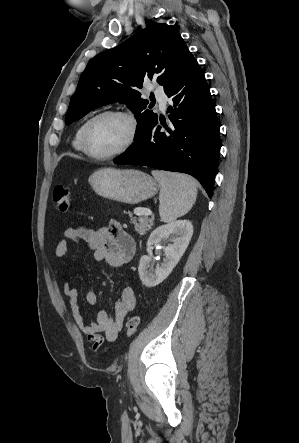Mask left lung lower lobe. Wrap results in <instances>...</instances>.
<instances>
[{
	"label": "left lung lower lobe",
	"mask_w": 299,
	"mask_h": 443,
	"mask_svg": "<svg viewBox=\"0 0 299 443\" xmlns=\"http://www.w3.org/2000/svg\"><path fill=\"white\" fill-rule=\"evenodd\" d=\"M165 93L172 100L168 124L157 117L114 163L190 174L211 198L220 151L219 125L199 64Z\"/></svg>",
	"instance_id": "obj_1"
}]
</instances>
